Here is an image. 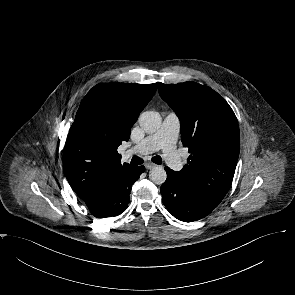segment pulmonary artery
Here are the masks:
<instances>
[{
  "instance_id": "e3ab8cb5",
  "label": "pulmonary artery",
  "mask_w": 295,
  "mask_h": 295,
  "mask_svg": "<svg viewBox=\"0 0 295 295\" xmlns=\"http://www.w3.org/2000/svg\"><path fill=\"white\" fill-rule=\"evenodd\" d=\"M180 133V120L176 113L170 112L164 118L159 129L144 138L133 148L126 152V155L137 153L141 155L162 150L167 164L176 171L183 167V160L176 151V142Z\"/></svg>"
}]
</instances>
